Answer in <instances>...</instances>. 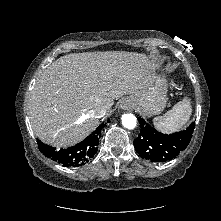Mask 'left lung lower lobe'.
I'll return each mask as SVG.
<instances>
[{
  "mask_svg": "<svg viewBox=\"0 0 221 221\" xmlns=\"http://www.w3.org/2000/svg\"><path fill=\"white\" fill-rule=\"evenodd\" d=\"M140 133L134 147L141 157L154 162H164L179 155L189 144L195 123L186 130L166 135L156 131L144 119L138 118Z\"/></svg>",
  "mask_w": 221,
  "mask_h": 221,
  "instance_id": "0a47b994",
  "label": "left lung lower lobe"
}]
</instances>
